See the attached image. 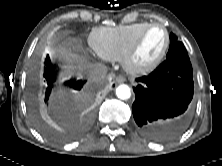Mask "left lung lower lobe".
<instances>
[{
	"instance_id": "1",
	"label": "left lung lower lobe",
	"mask_w": 222,
	"mask_h": 166,
	"mask_svg": "<svg viewBox=\"0 0 222 166\" xmlns=\"http://www.w3.org/2000/svg\"><path fill=\"white\" fill-rule=\"evenodd\" d=\"M136 80L132 112L140 132L149 139L165 141L184 131L194 93L190 59H166L148 76Z\"/></svg>"
}]
</instances>
